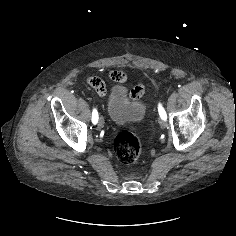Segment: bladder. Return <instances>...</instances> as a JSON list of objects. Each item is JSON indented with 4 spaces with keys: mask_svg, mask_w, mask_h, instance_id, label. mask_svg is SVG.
<instances>
[{
    "mask_svg": "<svg viewBox=\"0 0 236 236\" xmlns=\"http://www.w3.org/2000/svg\"><path fill=\"white\" fill-rule=\"evenodd\" d=\"M107 112L115 124L132 125L144 119L146 105L132 98L124 86L115 85L108 95Z\"/></svg>",
    "mask_w": 236,
    "mask_h": 236,
    "instance_id": "obj_1",
    "label": "bladder"
}]
</instances>
